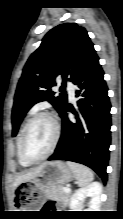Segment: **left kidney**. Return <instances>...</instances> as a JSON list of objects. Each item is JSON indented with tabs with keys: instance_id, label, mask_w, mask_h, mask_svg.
<instances>
[{
	"instance_id": "5707ae66",
	"label": "left kidney",
	"mask_w": 123,
	"mask_h": 219,
	"mask_svg": "<svg viewBox=\"0 0 123 219\" xmlns=\"http://www.w3.org/2000/svg\"><path fill=\"white\" fill-rule=\"evenodd\" d=\"M101 194L102 185L99 182H92L75 191L70 200V208L72 211H81L84 200L89 197V207L85 211H99Z\"/></svg>"
}]
</instances>
